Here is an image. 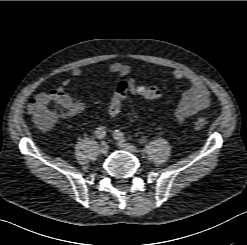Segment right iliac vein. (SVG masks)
Instances as JSON below:
<instances>
[{
  "mask_svg": "<svg viewBox=\"0 0 247 245\" xmlns=\"http://www.w3.org/2000/svg\"><path fill=\"white\" fill-rule=\"evenodd\" d=\"M109 151V146L106 142H102V144L99 147V152L101 154H107Z\"/></svg>",
  "mask_w": 247,
  "mask_h": 245,
  "instance_id": "63e3f726",
  "label": "right iliac vein"
}]
</instances>
